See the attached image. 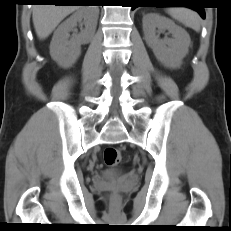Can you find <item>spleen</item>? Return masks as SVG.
Here are the masks:
<instances>
[{
	"instance_id": "1",
	"label": "spleen",
	"mask_w": 231,
	"mask_h": 231,
	"mask_svg": "<svg viewBox=\"0 0 231 231\" xmlns=\"http://www.w3.org/2000/svg\"><path fill=\"white\" fill-rule=\"evenodd\" d=\"M168 13L173 19L179 21L186 27L199 31L200 17L196 12L184 7H172L168 9Z\"/></svg>"
}]
</instances>
